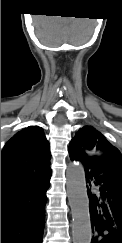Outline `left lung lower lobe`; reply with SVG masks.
Segmentation results:
<instances>
[{"label": "left lung lower lobe", "instance_id": "0a47b994", "mask_svg": "<svg viewBox=\"0 0 122 243\" xmlns=\"http://www.w3.org/2000/svg\"><path fill=\"white\" fill-rule=\"evenodd\" d=\"M81 162L88 183L91 243H122V157L106 154Z\"/></svg>", "mask_w": 122, "mask_h": 243}]
</instances>
